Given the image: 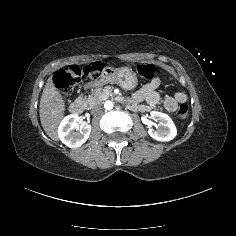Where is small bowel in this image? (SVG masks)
<instances>
[{
    "instance_id": "small-bowel-1",
    "label": "small bowel",
    "mask_w": 236,
    "mask_h": 236,
    "mask_svg": "<svg viewBox=\"0 0 236 236\" xmlns=\"http://www.w3.org/2000/svg\"><path fill=\"white\" fill-rule=\"evenodd\" d=\"M159 85V78H154L134 94L133 101L140 102L145 100L150 106H155L161 100V95L157 91ZM186 98V95L182 92L167 95L164 98L165 108L170 112H174L180 103L186 101Z\"/></svg>"
}]
</instances>
